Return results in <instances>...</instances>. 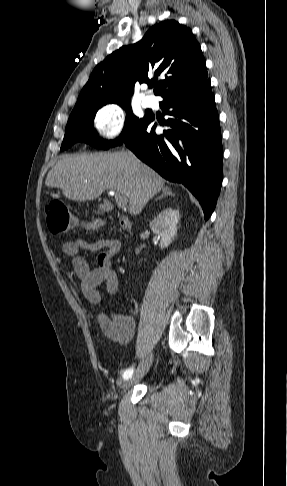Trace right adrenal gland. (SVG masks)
Wrapping results in <instances>:
<instances>
[{
  "mask_svg": "<svg viewBox=\"0 0 287 486\" xmlns=\"http://www.w3.org/2000/svg\"><path fill=\"white\" fill-rule=\"evenodd\" d=\"M172 195H173V194H172V191L169 189V187H163V188H162V195H160L159 197H157V198L155 199V201H156V200H160V199H162L163 197H166V196H172Z\"/></svg>",
  "mask_w": 287,
  "mask_h": 486,
  "instance_id": "2a0ac1e0",
  "label": "right adrenal gland"
}]
</instances>
